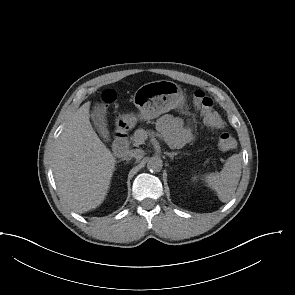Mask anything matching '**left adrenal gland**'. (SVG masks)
<instances>
[{"mask_svg": "<svg viewBox=\"0 0 295 295\" xmlns=\"http://www.w3.org/2000/svg\"><path fill=\"white\" fill-rule=\"evenodd\" d=\"M165 154L168 155L171 159H173L175 155L179 154V152H165Z\"/></svg>", "mask_w": 295, "mask_h": 295, "instance_id": "1", "label": "left adrenal gland"}]
</instances>
